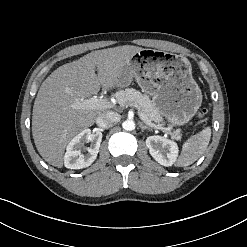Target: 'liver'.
Masks as SVG:
<instances>
[{
  "instance_id": "liver-1",
  "label": "liver",
  "mask_w": 247,
  "mask_h": 247,
  "mask_svg": "<svg viewBox=\"0 0 247 247\" xmlns=\"http://www.w3.org/2000/svg\"><path fill=\"white\" fill-rule=\"evenodd\" d=\"M141 47L124 45L93 51L53 71L41 84L33 106L32 135L39 154L61 168L66 146L107 109H82V99L117 86L121 69ZM97 70V74L95 73Z\"/></svg>"
}]
</instances>
